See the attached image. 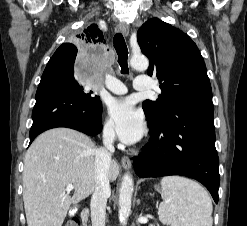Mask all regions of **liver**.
I'll return each instance as SVG.
<instances>
[{"label": "liver", "instance_id": "obj_1", "mask_svg": "<svg viewBox=\"0 0 247 226\" xmlns=\"http://www.w3.org/2000/svg\"><path fill=\"white\" fill-rule=\"evenodd\" d=\"M93 141L69 128H55L38 136L26 152L23 171V201L28 226H62L71 204H77L95 189ZM119 174L111 161L108 178ZM72 184L71 197L66 187Z\"/></svg>", "mask_w": 247, "mask_h": 226}]
</instances>
